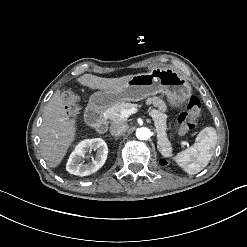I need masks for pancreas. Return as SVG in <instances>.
<instances>
[{
	"label": "pancreas",
	"instance_id": "obj_1",
	"mask_svg": "<svg viewBox=\"0 0 247 247\" xmlns=\"http://www.w3.org/2000/svg\"><path fill=\"white\" fill-rule=\"evenodd\" d=\"M136 105L130 103H118L113 105L112 107L106 109L104 111V118L111 120V121H121L126 122L127 118L122 116L123 110H129L135 108ZM150 115L153 118L154 126L156 130V135L158 138L157 148L164 154L170 155L171 154V147L167 141V133H166V115L160 113L157 110L151 111Z\"/></svg>",
	"mask_w": 247,
	"mask_h": 247
}]
</instances>
